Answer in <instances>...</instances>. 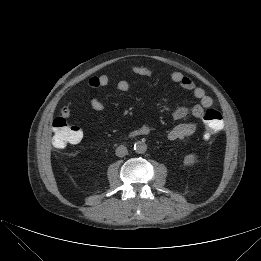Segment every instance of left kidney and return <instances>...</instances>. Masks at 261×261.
<instances>
[{
    "label": "left kidney",
    "mask_w": 261,
    "mask_h": 261,
    "mask_svg": "<svg viewBox=\"0 0 261 261\" xmlns=\"http://www.w3.org/2000/svg\"><path fill=\"white\" fill-rule=\"evenodd\" d=\"M198 161V156L196 154H189L184 157V165L190 166Z\"/></svg>",
    "instance_id": "1"
}]
</instances>
